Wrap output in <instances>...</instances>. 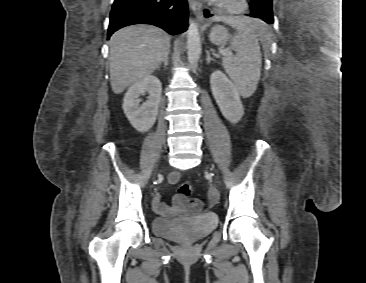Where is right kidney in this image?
<instances>
[{
  "instance_id": "right-kidney-1",
  "label": "right kidney",
  "mask_w": 366,
  "mask_h": 283,
  "mask_svg": "<svg viewBox=\"0 0 366 283\" xmlns=\"http://www.w3.org/2000/svg\"><path fill=\"white\" fill-rule=\"evenodd\" d=\"M148 93V101L140 105V95ZM162 84L154 75L145 76L131 85L123 98L122 108L131 125L139 132L148 131L155 123L161 101Z\"/></svg>"
}]
</instances>
